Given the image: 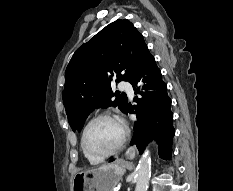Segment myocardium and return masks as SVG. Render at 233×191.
<instances>
[{"instance_id":"f54148a6","label":"myocardium","mask_w":233,"mask_h":191,"mask_svg":"<svg viewBox=\"0 0 233 191\" xmlns=\"http://www.w3.org/2000/svg\"><path fill=\"white\" fill-rule=\"evenodd\" d=\"M100 119H110V120H114V121L119 122L122 126V136H121L120 140L118 141V143L113 148H111L109 151L102 153V154H95V153L90 152L89 149L87 148L86 135H87V132H88V129L90 128V126L95 121L100 120ZM128 134H129V131H128L126 124L119 117H117L111 113H106V112L100 113V114L95 115L93 118H91L87 122V124L85 125L83 132H82V136H81V147L87 156L94 158V159L102 160V159H105V158L115 154L116 152H118L125 144V142L128 138Z\"/></svg>"}]
</instances>
